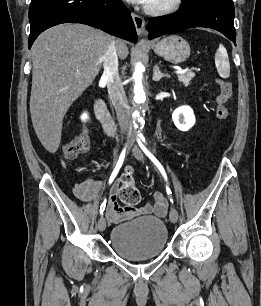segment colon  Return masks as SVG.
I'll use <instances>...</instances> for the list:
<instances>
[{"label": "colon", "instance_id": "obj_1", "mask_svg": "<svg viewBox=\"0 0 261 306\" xmlns=\"http://www.w3.org/2000/svg\"><path fill=\"white\" fill-rule=\"evenodd\" d=\"M220 92L216 97L215 114L217 118L225 120L229 116V111L225 103L230 98L233 92V86L229 81H219ZM89 148V137L86 132H82L64 147V155L67 159H75L79 155L86 152ZM120 200L124 203L125 208L134 209L140 201V192L135 185L132 170L127 168L121 176V187L119 190Z\"/></svg>", "mask_w": 261, "mask_h": 306}]
</instances>
